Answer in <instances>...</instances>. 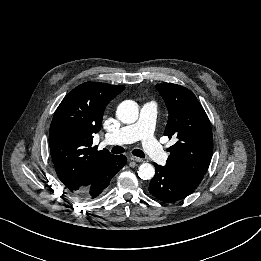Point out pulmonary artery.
Segmentation results:
<instances>
[{
    "instance_id": "pulmonary-artery-1",
    "label": "pulmonary artery",
    "mask_w": 261,
    "mask_h": 261,
    "mask_svg": "<svg viewBox=\"0 0 261 261\" xmlns=\"http://www.w3.org/2000/svg\"><path fill=\"white\" fill-rule=\"evenodd\" d=\"M156 114V103L152 101L145 103L141 108L139 121L135 124L125 126L117 132L109 133L106 136V142L108 144H128L141 140L149 156L156 163L164 165L168 159V155L161 149L154 136Z\"/></svg>"
}]
</instances>
